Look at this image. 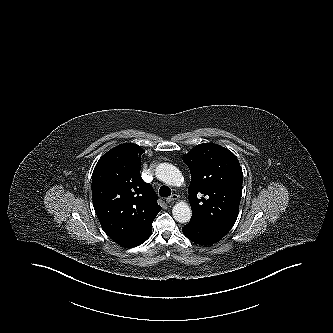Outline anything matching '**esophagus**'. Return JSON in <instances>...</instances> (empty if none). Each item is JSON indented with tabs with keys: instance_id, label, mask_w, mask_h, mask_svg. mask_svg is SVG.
<instances>
[{
	"instance_id": "1",
	"label": "esophagus",
	"mask_w": 333,
	"mask_h": 333,
	"mask_svg": "<svg viewBox=\"0 0 333 333\" xmlns=\"http://www.w3.org/2000/svg\"><path fill=\"white\" fill-rule=\"evenodd\" d=\"M177 199H178V195H177V194H172L171 196H169V197L166 199V202H167L168 204H170V203L174 202V201L177 200Z\"/></svg>"
}]
</instances>
